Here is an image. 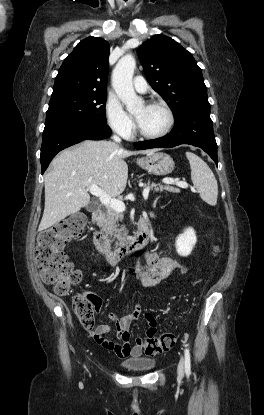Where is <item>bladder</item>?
Returning a JSON list of instances; mask_svg holds the SVG:
<instances>
[{"mask_svg":"<svg viewBox=\"0 0 264 415\" xmlns=\"http://www.w3.org/2000/svg\"><path fill=\"white\" fill-rule=\"evenodd\" d=\"M121 365L130 372H143L152 369L155 361L148 358L125 359Z\"/></svg>","mask_w":264,"mask_h":415,"instance_id":"bladder-1","label":"bladder"}]
</instances>
